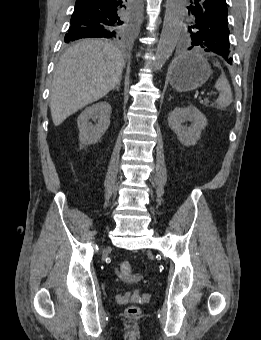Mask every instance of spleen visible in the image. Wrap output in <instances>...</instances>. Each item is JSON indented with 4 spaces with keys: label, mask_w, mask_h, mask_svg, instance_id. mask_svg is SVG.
Here are the masks:
<instances>
[{
    "label": "spleen",
    "mask_w": 261,
    "mask_h": 340,
    "mask_svg": "<svg viewBox=\"0 0 261 340\" xmlns=\"http://www.w3.org/2000/svg\"><path fill=\"white\" fill-rule=\"evenodd\" d=\"M215 88L219 91V97L216 100V103L221 108L228 107L232 101V92L230 84L225 77V75H221L215 83Z\"/></svg>",
    "instance_id": "spleen-1"
}]
</instances>
